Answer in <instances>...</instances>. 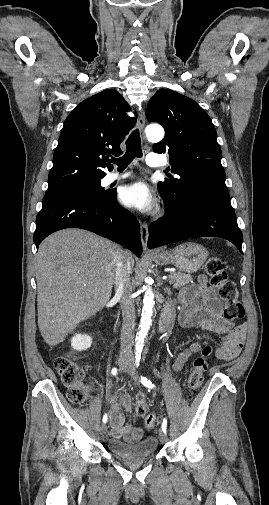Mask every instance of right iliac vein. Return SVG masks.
<instances>
[{
    "label": "right iliac vein",
    "mask_w": 269,
    "mask_h": 505,
    "mask_svg": "<svg viewBox=\"0 0 269 505\" xmlns=\"http://www.w3.org/2000/svg\"><path fill=\"white\" fill-rule=\"evenodd\" d=\"M125 360H126V358H125V357H120V358H119V367H120V370H122V371H124V370L122 369V367H123V365H124V363H125ZM106 432H107V425L104 423V424H102V425H101V427H100V433H101V435L104 437V435L106 434Z\"/></svg>",
    "instance_id": "1"
}]
</instances>
